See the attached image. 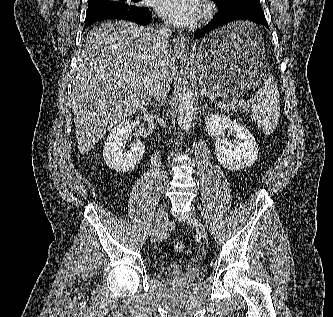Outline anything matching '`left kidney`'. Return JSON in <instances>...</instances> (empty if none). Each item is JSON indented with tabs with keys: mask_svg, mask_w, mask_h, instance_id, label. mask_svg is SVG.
<instances>
[{
	"mask_svg": "<svg viewBox=\"0 0 333 317\" xmlns=\"http://www.w3.org/2000/svg\"><path fill=\"white\" fill-rule=\"evenodd\" d=\"M205 128L215 140V154L224 168L237 171L252 166L257 160V142L244 125L226 115L211 113L205 117ZM226 130L236 135V140L225 139Z\"/></svg>",
	"mask_w": 333,
	"mask_h": 317,
	"instance_id": "left-kidney-1",
	"label": "left kidney"
}]
</instances>
